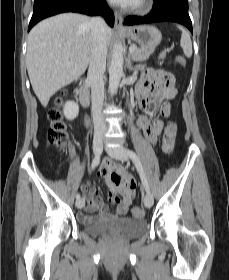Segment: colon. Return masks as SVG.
<instances>
[{
  "mask_svg": "<svg viewBox=\"0 0 229 280\" xmlns=\"http://www.w3.org/2000/svg\"><path fill=\"white\" fill-rule=\"evenodd\" d=\"M177 64L180 66L185 65V57L184 56H177L176 58ZM157 78L159 81L168 88H174L175 87V77L172 73L164 70H158L157 71ZM69 91L64 90L63 95H68ZM63 104V100L61 97H57L55 99V107L52 108L49 111L48 117L50 120V127L47 132V140L48 142L59 149L65 148L68 145L67 141V126L63 119V114L61 112L60 107ZM163 150L166 153H171L176 145L177 142V125L173 121H169L164 129L163 133ZM111 180L114 184L118 185L122 182L123 177L119 175L118 173L114 172L111 175ZM112 194L109 197V200H112ZM133 215L135 217H143L144 216V210L141 207H135L133 209Z\"/></svg>",
  "mask_w": 229,
  "mask_h": 280,
  "instance_id": "5ec220e1",
  "label": "colon"
}]
</instances>
